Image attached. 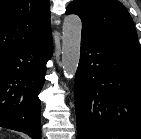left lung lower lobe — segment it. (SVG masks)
<instances>
[{"label":"left lung lower lobe","instance_id":"1","mask_svg":"<svg viewBox=\"0 0 141 139\" xmlns=\"http://www.w3.org/2000/svg\"><path fill=\"white\" fill-rule=\"evenodd\" d=\"M75 106L78 139H141V51L82 35Z\"/></svg>","mask_w":141,"mask_h":139}]
</instances>
